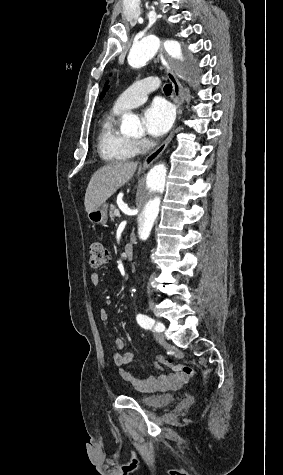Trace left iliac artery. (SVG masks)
<instances>
[{
	"label": "left iliac artery",
	"instance_id": "left-iliac-artery-1",
	"mask_svg": "<svg viewBox=\"0 0 283 475\" xmlns=\"http://www.w3.org/2000/svg\"><path fill=\"white\" fill-rule=\"evenodd\" d=\"M136 320L138 324L145 329H151L155 324V321L153 319L149 318L148 316L144 314H138L136 316ZM155 330L163 331L164 330L163 324H160V323L156 324Z\"/></svg>",
	"mask_w": 283,
	"mask_h": 475
}]
</instances>
